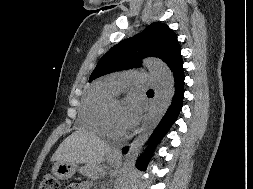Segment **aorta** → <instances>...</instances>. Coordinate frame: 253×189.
Masks as SVG:
<instances>
[{"mask_svg":"<svg viewBox=\"0 0 253 189\" xmlns=\"http://www.w3.org/2000/svg\"><path fill=\"white\" fill-rule=\"evenodd\" d=\"M144 65L154 74L157 80V90L139 134L130 145L129 151L126 154L121 175L117 179L115 189H120L123 178L135 166L143 145L169 108L175 91L173 73L164 62L157 59H146Z\"/></svg>","mask_w":253,"mask_h":189,"instance_id":"762f6f07","label":"aorta"}]
</instances>
